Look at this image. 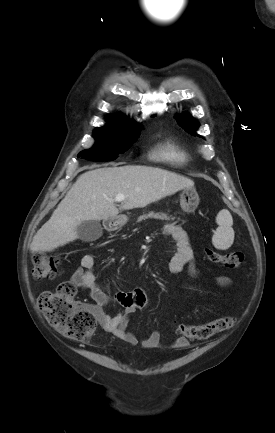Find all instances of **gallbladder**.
<instances>
[{
  "label": "gallbladder",
  "instance_id": "bac80fb5",
  "mask_svg": "<svg viewBox=\"0 0 275 433\" xmlns=\"http://www.w3.org/2000/svg\"><path fill=\"white\" fill-rule=\"evenodd\" d=\"M76 231L80 240L92 242L102 236L103 229L99 221H85L77 227Z\"/></svg>",
  "mask_w": 275,
  "mask_h": 433
}]
</instances>
